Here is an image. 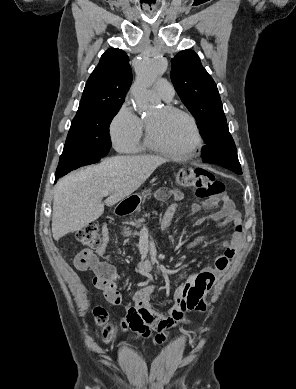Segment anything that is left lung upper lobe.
<instances>
[{
	"mask_svg": "<svg viewBox=\"0 0 296 389\" xmlns=\"http://www.w3.org/2000/svg\"><path fill=\"white\" fill-rule=\"evenodd\" d=\"M171 63L170 76L174 87L198 121V129L206 144L216 131L227 125L217 86L193 50L179 52Z\"/></svg>",
	"mask_w": 296,
	"mask_h": 389,
	"instance_id": "obj_1",
	"label": "left lung upper lobe"
}]
</instances>
